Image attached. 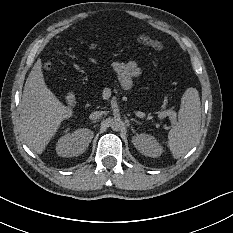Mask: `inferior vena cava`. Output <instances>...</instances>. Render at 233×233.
Segmentation results:
<instances>
[{"instance_id": "inferior-vena-cava-1", "label": "inferior vena cava", "mask_w": 233, "mask_h": 233, "mask_svg": "<svg viewBox=\"0 0 233 233\" xmlns=\"http://www.w3.org/2000/svg\"><path fill=\"white\" fill-rule=\"evenodd\" d=\"M104 114L103 111H94L90 114V118L93 120L99 119Z\"/></svg>"}]
</instances>
